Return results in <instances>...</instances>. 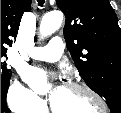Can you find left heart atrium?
<instances>
[{
  "mask_svg": "<svg viewBox=\"0 0 121 113\" xmlns=\"http://www.w3.org/2000/svg\"><path fill=\"white\" fill-rule=\"evenodd\" d=\"M28 82L40 93L46 90L45 84V73L39 69L30 68L25 73ZM55 95V90L51 91L50 97L53 98Z\"/></svg>",
  "mask_w": 121,
  "mask_h": 113,
  "instance_id": "obj_1",
  "label": "left heart atrium"
}]
</instances>
